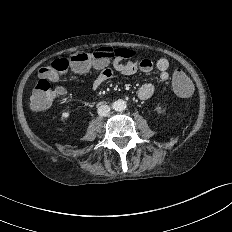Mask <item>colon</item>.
I'll return each mask as SVG.
<instances>
[{
	"label": "colon",
	"mask_w": 232,
	"mask_h": 232,
	"mask_svg": "<svg viewBox=\"0 0 232 232\" xmlns=\"http://www.w3.org/2000/svg\"><path fill=\"white\" fill-rule=\"evenodd\" d=\"M134 56L135 51L129 48L101 47L90 52H78L69 58L53 60L40 70V79L31 96L32 109L42 111L49 108L57 96L63 93L62 87L52 88L51 82L58 80L67 70L82 73L91 65L105 63L115 57L130 59ZM172 85L175 93L181 97H188L192 92V84L181 69L174 71Z\"/></svg>",
	"instance_id": "1"
}]
</instances>
